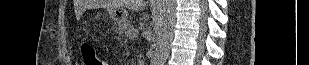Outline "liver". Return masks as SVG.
Here are the masks:
<instances>
[{
  "label": "liver",
  "mask_w": 309,
  "mask_h": 65,
  "mask_svg": "<svg viewBox=\"0 0 309 65\" xmlns=\"http://www.w3.org/2000/svg\"><path fill=\"white\" fill-rule=\"evenodd\" d=\"M148 3V1H147ZM144 0H112L108 3H105V6L108 7H127L128 9H143L146 4Z\"/></svg>",
  "instance_id": "6515ba94"
}]
</instances>
